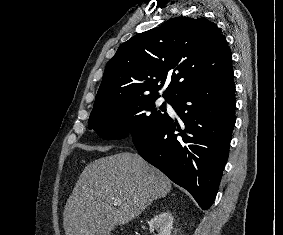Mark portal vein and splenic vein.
Instances as JSON below:
<instances>
[{
    "instance_id": "portal-vein-and-splenic-vein-1",
    "label": "portal vein and splenic vein",
    "mask_w": 283,
    "mask_h": 235,
    "mask_svg": "<svg viewBox=\"0 0 283 235\" xmlns=\"http://www.w3.org/2000/svg\"><path fill=\"white\" fill-rule=\"evenodd\" d=\"M119 202H120V200H119V199L114 198V203H115V204H118Z\"/></svg>"
}]
</instances>
